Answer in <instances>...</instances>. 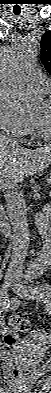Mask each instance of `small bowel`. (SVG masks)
Wrapping results in <instances>:
<instances>
[{
	"mask_svg": "<svg viewBox=\"0 0 51 393\" xmlns=\"http://www.w3.org/2000/svg\"><path fill=\"white\" fill-rule=\"evenodd\" d=\"M20 303H21V301L19 299L13 298V299H11V301L9 303V308L11 310H15L20 305ZM41 337H42V334L38 333L37 338L41 339Z\"/></svg>",
	"mask_w": 51,
	"mask_h": 393,
	"instance_id": "obj_1",
	"label": "small bowel"
}]
</instances>
